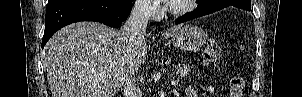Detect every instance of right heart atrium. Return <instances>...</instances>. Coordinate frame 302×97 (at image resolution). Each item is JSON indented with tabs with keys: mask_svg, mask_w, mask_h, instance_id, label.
<instances>
[{
	"mask_svg": "<svg viewBox=\"0 0 302 97\" xmlns=\"http://www.w3.org/2000/svg\"><path fill=\"white\" fill-rule=\"evenodd\" d=\"M137 10L150 18H155L157 15V4L151 1H140Z\"/></svg>",
	"mask_w": 302,
	"mask_h": 97,
	"instance_id": "right-heart-atrium-1",
	"label": "right heart atrium"
}]
</instances>
